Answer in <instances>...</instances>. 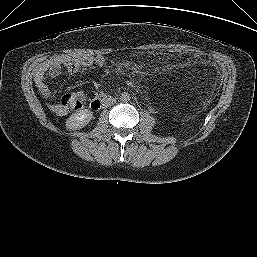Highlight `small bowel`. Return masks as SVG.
<instances>
[{
  "label": "small bowel",
  "instance_id": "small-bowel-1",
  "mask_svg": "<svg viewBox=\"0 0 257 257\" xmlns=\"http://www.w3.org/2000/svg\"><path fill=\"white\" fill-rule=\"evenodd\" d=\"M106 63V58L102 55L92 54H76V55H59L54 56L42 62L34 73L35 83L46 99L48 107L57 115L64 116L68 112V108L54 103L50 98V90L45 83L46 76L51 78L59 76L62 69L65 68L70 73H76L81 68L97 66L103 67Z\"/></svg>",
  "mask_w": 257,
  "mask_h": 257
}]
</instances>
